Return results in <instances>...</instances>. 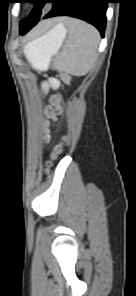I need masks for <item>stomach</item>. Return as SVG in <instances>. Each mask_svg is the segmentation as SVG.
Returning a JSON list of instances; mask_svg holds the SVG:
<instances>
[{
    "label": "stomach",
    "mask_w": 136,
    "mask_h": 296,
    "mask_svg": "<svg viewBox=\"0 0 136 296\" xmlns=\"http://www.w3.org/2000/svg\"><path fill=\"white\" fill-rule=\"evenodd\" d=\"M65 36L66 33L62 25H56L46 34L28 42L24 46L26 58L34 68L46 70L51 57L57 53Z\"/></svg>",
    "instance_id": "1"
}]
</instances>
